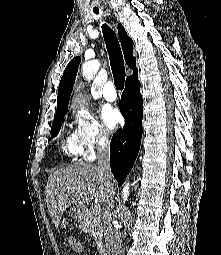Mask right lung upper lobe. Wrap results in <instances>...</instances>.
Returning a JSON list of instances; mask_svg holds the SVG:
<instances>
[{
  "mask_svg": "<svg viewBox=\"0 0 221 255\" xmlns=\"http://www.w3.org/2000/svg\"><path fill=\"white\" fill-rule=\"evenodd\" d=\"M118 34L122 45L125 61L127 65L133 70L134 74L135 72H137V68L135 63V57H133L132 53L133 41L131 38L128 37L124 27L121 24H118ZM80 60V57L72 59L64 71L58 88L56 113L67 111L70 94L73 89Z\"/></svg>",
  "mask_w": 221,
  "mask_h": 255,
  "instance_id": "obj_1",
  "label": "right lung upper lobe"
}]
</instances>
